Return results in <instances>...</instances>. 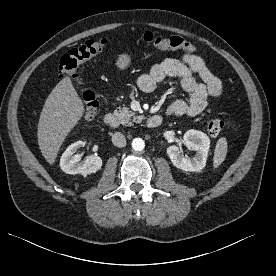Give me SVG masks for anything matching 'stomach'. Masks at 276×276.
<instances>
[{
  "label": "stomach",
  "instance_id": "1",
  "mask_svg": "<svg viewBox=\"0 0 276 276\" xmlns=\"http://www.w3.org/2000/svg\"><path fill=\"white\" fill-rule=\"evenodd\" d=\"M130 64H131V58L126 53L119 55V57L116 61V66L121 70L128 68L130 66Z\"/></svg>",
  "mask_w": 276,
  "mask_h": 276
}]
</instances>
